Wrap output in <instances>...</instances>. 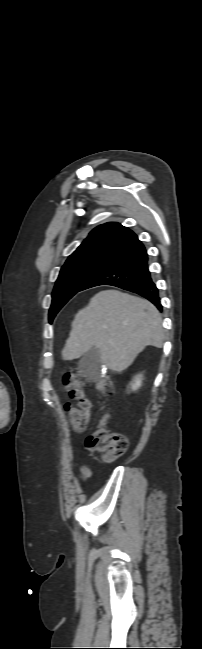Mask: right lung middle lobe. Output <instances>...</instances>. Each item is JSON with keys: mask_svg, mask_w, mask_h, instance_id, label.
<instances>
[{"mask_svg": "<svg viewBox=\"0 0 202 649\" xmlns=\"http://www.w3.org/2000/svg\"><path fill=\"white\" fill-rule=\"evenodd\" d=\"M115 255L104 252L85 253L71 256L61 268L52 293V305L49 321L52 322L57 312L77 292L88 279Z\"/></svg>", "mask_w": 202, "mask_h": 649, "instance_id": "right-lung-middle-lobe-1", "label": "right lung middle lobe"}]
</instances>
